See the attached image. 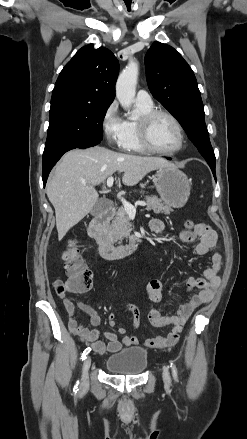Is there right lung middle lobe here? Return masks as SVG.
<instances>
[{
	"label": "right lung middle lobe",
	"instance_id": "obj_1",
	"mask_svg": "<svg viewBox=\"0 0 247 439\" xmlns=\"http://www.w3.org/2000/svg\"><path fill=\"white\" fill-rule=\"evenodd\" d=\"M109 105L60 103L50 108L43 161L75 148L92 147L102 140V123Z\"/></svg>",
	"mask_w": 247,
	"mask_h": 439
}]
</instances>
